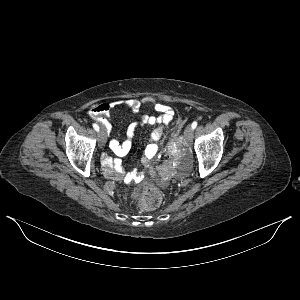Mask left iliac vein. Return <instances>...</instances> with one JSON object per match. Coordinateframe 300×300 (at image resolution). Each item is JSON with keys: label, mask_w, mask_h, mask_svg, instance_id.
<instances>
[{"label": "left iliac vein", "mask_w": 300, "mask_h": 300, "mask_svg": "<svg viewBox=\"0 0 300 300\" xmlns=\"http://www.w3.org/2000/svg\"><path fill=\"white\" fill-rule=\"evenodd\" d=\"M184 137L188 140V141H192V138H193V129L190 125H188L186 128H185V131H184Z\"/></svg>", "instance_id": "1"}]
</instances>
